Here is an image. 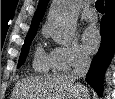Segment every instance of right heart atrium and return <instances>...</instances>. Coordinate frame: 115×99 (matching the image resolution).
<instances>
[{"label": "right heart atrium", "mask_w": 115, "mask_h": 99, "mask_svg": "<svg viewBox=\"0 0 115 99\" xmlns=\"http://www.w3.org/2000/svg\"><path fill=\"white\" fill-rule=\"evenodd\" d=\"M47 33V30H45ZM53 70L67 72L72 67L84 64L88 61V55L84 48L76 41L68 45L56 46L49 54Z\"/></svg>", "instance_id": "1"}]
</instances>
